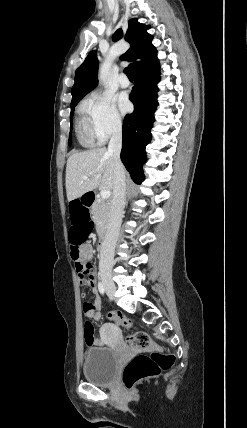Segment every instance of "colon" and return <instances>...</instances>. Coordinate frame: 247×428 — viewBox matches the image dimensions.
I'll list each match as a JSON object with an SVG mask.
<instances>
[{"label": "colon", "instance_id": "colon-1", "mask_svg": "<svg viewBox=\"0 0 247 428\" xmlns=\"http://www.w3.org/2000/svg\"><path fill=\"white\" fill-rule=\"evenodd\" d=\"M69 212V220L66 221L68 238L70 239L71 255L75 261L77 271L82 273L85 279L89 264L80 256V247L84 246V239L91 238L94 230V219L88 217L91 212L90 204H82L80 199H68L66 202ZM110 319L116 321L126 329L131 328V321L123 314L112 312ZM84 338L87 345H93L95 341L94 327L88 317L84 321ZM128 345L136 350L150 351L149 354H138L126 365L123 372V383L125 387L132 390L140 381L160 375L164 370L174 365L175 357L170 353L160 352L150 337L145 332H136L127 338Z\"/></svg>", "mask_w": 247, "mask_h": 428}]
</instances>
